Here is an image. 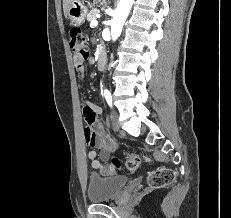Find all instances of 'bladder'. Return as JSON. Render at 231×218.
I'll list each match as a JSON object with an SVG mask.
<instances>
[{
    "mask_svg": "<svg viewBox=\"0 0 231 218\" xmlns=\"http://www.w3.org/2000/svg\"><path fill=\"white\" fill-rule=\"evenodd\" d=\"M128 178L124 176H99L91 174L88 182V199L100 203L116 198L126 187Z\"/></svg>",
    "mask_w": 231,
    "mask_h": 218,
    "instance_id": "bladder-1",
    "label": "bladder"
}]
</instances>
